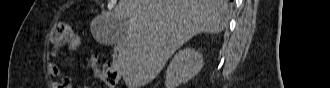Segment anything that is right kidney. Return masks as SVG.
Here are the masks:
<instances>
[{"instance_id": "ca27d5eb", "label": "right kidney", "mask_w": 330, "mask_h": 88, "mask_svg": "<svg viewBox=\"0 0 330 88\" xmlns=\"http://www.w3.org/2000/svg\"><path fill=\"white\" fill-rule=\"evenodd\" d=\"M203 64V55L195 49L180 50L167 68L166 88H177L181 83L187 82L200 72Z\"/></svg>"}]
</instances>
